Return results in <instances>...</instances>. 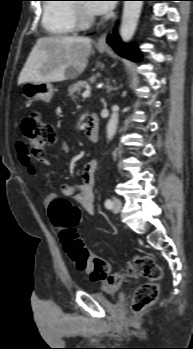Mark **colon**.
<instances>
[{
	"instance_id": "1",
	"label": "colon",
	"mask_w": 193,
	"mask_h": 349,
	"mask_svg": "<svg viewBox=\"0 0 193 349\" xmlns=\"http://www.w3.org/2000/svg\"><path fill=\"white\" fill-rule=\"evenodd\" d=\"M22 142L29 157L41 159L44 151L56 142L54 126L44 120L38 112L28 113L22 121ZM52 225L59 232L64 250L76 268L86 273L92 281L106 280L111 273L108 261L92 254L79 238L77 224L80 219L78 207L64 198L53 200L49 207ZM136 272L147 281L140 285L133 298V309L142 311L152 305L159 296L158 282L162 269L155 259L148 255H137L133 259Z\"/></svg>"
}]
</instances>
